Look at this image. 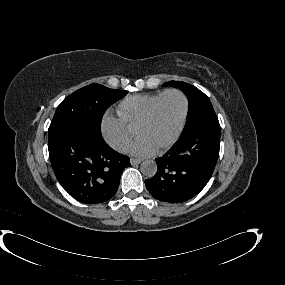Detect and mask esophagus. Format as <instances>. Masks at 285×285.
Segmentation results:
<instances>
[{"instance_id": "obj_1", "label": "esophagus", "mask_w": 285, "mask_h": 285, "mask_svg": "<svg viewBox=\"0 0 285 285\" xmlns=\"http://www.w3.org/2000/svg\"><path fill=\"white\" fill-rule=\"evenodd\" d=\"M141 159H136V158H131L130 159V163L132 164V165H136V164H139V163H141Z\"/></svg>"}]
</instances>
